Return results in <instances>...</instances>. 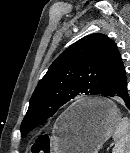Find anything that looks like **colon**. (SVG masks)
<instances>
[{"label":"colon","mask_w":130,"mask_h":153,"mask_svg":"<svg viewBox=\"0 0 130 153\" xmlns=\"http://www.w3.org/2000/svg\"><path fill=\"white\" fill-rule=\"evenodd\" d=\"M50 150V139L47 135L38 137L32 147L35 153H48Z\"/></svg>","instance_id":"colon-1"}]
</instances>
